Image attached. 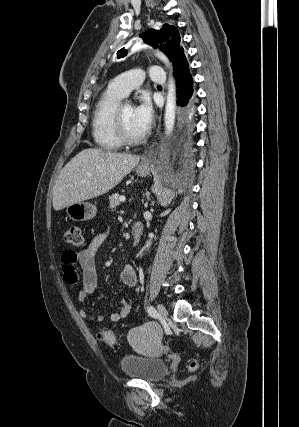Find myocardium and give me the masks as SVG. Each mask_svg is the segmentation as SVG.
<instances>
[{
	"mask_svg": "<svg viewBox=\"0 0 299 427\" xmlns=\"http://www.w3.org/2000/svg\"><path fill=\"white\" fill-rule=\"evenodd\" d=\"M125 103H120L113 115L114 129L115 133L122 144L126 145H135L140 143L146 136V133H142L138 136H130L125 128L122 110Z\"/></svg>",
	"mask_w": 299,
	"mask_h": 427,
	"instance_id": "obj_1",
	"label": "myocardium"
}]
</instances>
